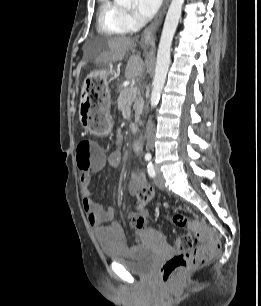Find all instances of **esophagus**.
Returning a JSON list of instances; mask_svg holds the SVG:
<instances>
[{
    "label": "esophagus",
    "mask_w": 261,
    "mask_h": 306,
    "mask_svg": "<svg viewBox=\"0 0 261 306\" xmlns=\"http://www.w3.org/2000/svg\"><path fill=\"white\" fill-rule=\"evenodd\" d=\"M169 2H170V0H164L163 1V4H162L159 12L157 13V15L155 16L153 21L150 23V25L144 31V33L141 37V46L142 47L153 48L156 32H157L158 28L160 27V25L163 21V18H164V15L166 13Z\"/></svg>",
    "instance_id": "obj_1"
}]
</instances>
